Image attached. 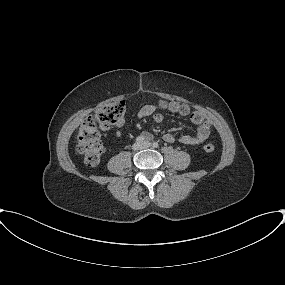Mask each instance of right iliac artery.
Masks as SVG:
<instances>
[{
    "label": "right iliac artery",
    "instance_id": "82829eb1",
    "mask_svg": "<svg viewBox=\"0 0 285 285\" xmlns=\"http://www.w3.org/2000/svg\"><path fill=\"white\" fill-rule=\"evenodd\" d=\"M144 141V138L142 137V136H138L137 138H136V142L137 143H141V142H143Z\"/></svg>",
    "mask_w": 285,
    "mask_h": 285
}]
</instances>
